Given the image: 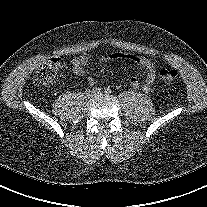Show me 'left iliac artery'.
Listing matches in <instances>:
<instances>
[{"mask_svg": "<svg viewBox=\"0 0 207 207\" xmlns=\"http://www.w3.org/2000/svg\"><path fill=\"white\" fill-rule=\"evenodd\" d=\"M104 92L106 94H110L112 91H111V89L109 87H107V88L104 89Z\"/></svg>", "mask_w": 207, "mask_h": 207, "instance_id": "obj_1", "label": "left iliac artery"}]
</instances>
